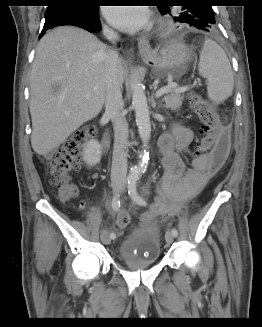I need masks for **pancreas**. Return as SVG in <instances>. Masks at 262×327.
Wrapping results in <instances>:
<instances>
[{"label": "pancreas", "instance_id": "obj_1", "mask_svg": "<svg viewBox=\"0 0 262 327\" xmlns=\"http://www.w3.org/2000/svg\"><path fill=\"white\" fill-rule=\"evenodd\" d=\"M182 92H177L175 90H169L164 96L165 107L173 111L178 110L184 99V96L181 95Z\"/></svg>", "mask_w": 262, "mask_h": 327}]
</instances>
